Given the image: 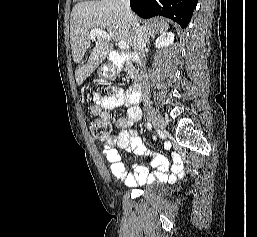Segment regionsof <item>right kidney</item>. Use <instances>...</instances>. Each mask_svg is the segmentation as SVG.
Here are the masks:
<instances>
[{"instance_id": "right-kidney-1", "label": "right kidney", "mask_w": 257, "mask_h": 237, "mask_svg": "<svg viewBox=\"0 0 257 237\" xmlns=\"http://www.w3.org/2000/svg\"><path fill=\"white\" fill-rule=\"evenodd\" d=\"M174 34L171 32L163 33L160 35L155 42V47L157 49L166 48L169 45L173 44Z\"/></svg>"}]
</instances>
